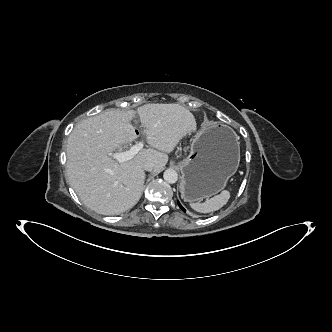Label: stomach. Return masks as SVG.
<instances>
[{
    "instance_id": "obj_1",
    "label": "stomach",
    "mask_w": 332,
    "mask_h": 332,
    "mask_svg": "<svg viewBox=\"0 0 332 332\" xmlns=\"http://www.w3.org/2000/svg\"><path fill=\"white\" fill-rule=\"evenodd\" d=\"M239 162V141L230 127L203 129L193 139L190 154L179 162L181 197L196 202L218 194L236 172Z\"/></svg>"
}]
</instances>
